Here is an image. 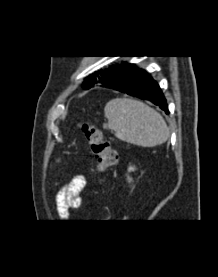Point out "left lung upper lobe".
I'll return each mask as SVG.
<instances>
[{
    "label": "left lung upper lobe",
    "mask_w": 218,
    "mask_h": 277,
    "mask_svg": "<svg viewBox=\"0 0 218 277\" xmlns=\"http://www.w3.org/2000/svg\"><path fill=\"white\" fill-rule=\"evenodd\" d=\"M126 65L127 63H122L121 65H113L106 70L100 69L98 72L91 74L87 79L84 80L83 87L85 89H89L92 86H94L96 83H102L113 72H116L122 69Z\"/></svg>",
    "instance_id": "obj_1"
}]
</instances>
